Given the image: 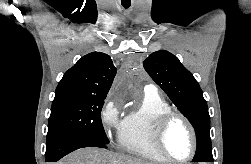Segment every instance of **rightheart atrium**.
Here are the masks:
<instances>
[{
  "label": "right heart atrium",
  "mask_w": 251,
  "mask_h": 164,
  "mask_svg": "<svg viewBox=\"0 0 251 164\" xmlns=\"http://www.w3.org/2000/svg\"><path fill=\"white\" fill-rule=\"evenodd\" d=\"M101 124L108 135L120 131L123 123L121 117V103L117 100L111 99L106 102L100 113Z\"/></svg>",
  "instance_id": "obj_1"
}]
</instances>
